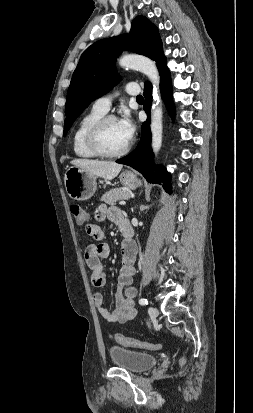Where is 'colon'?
<instances>
[{
    "mask_svg": "<svg viewBox=\"0 0 253 413\" xmlns=\"http://www.w3.org/2000/svg\"><path fill=\"white\" fill-rule=\"evenodd\" d=\"M70 212H71L74 220L78 224H83V223L86 222L87 214L80 205L72 204L70 206ZM114 338L118 343H120V344H122L123 346H126V347H133V348L145 349V350H150V351H158V350L162 349V346L160 344L144 342V341H141V340H138V339L125 337L121 334H115Z\"/></svg>",
    "mask_w": 253,
    "mask_h": 413,
    "instance_id": "colon-1",
    "label": "colon"
}]
</instances>
